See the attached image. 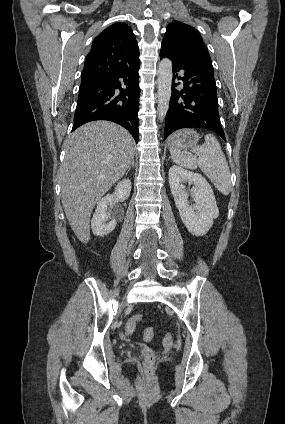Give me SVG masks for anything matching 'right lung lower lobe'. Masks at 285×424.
<instances>
[{
  "mask_svg": "<svg viewBox=\"0 0 285 424\" xmlns=\"http://www.w3.org/2000/svg\"><path fill=\"white\" fill-rule=\"evenodd\" d=\"M139 68L140 62L123 71L81 82L72 131L90 121L108 120L125 127L138 142ZM116 89L120 90L119 95L115 94Z\"/></svg>",
  "mask_w": 285,
  "mask_h": 424,
  "instance_id": "obj_1",
  "label": "right lung lower lobe"
}]
</instances>
